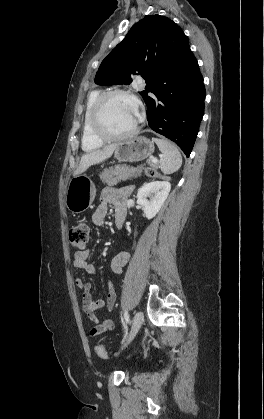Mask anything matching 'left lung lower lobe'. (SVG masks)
Masks as SVG:
<instances>
[{"label":"left lung lower lobe","mask_w":264,"mask_h":419,"mask_svg":"<svg viewBox=\"0 0 264 419\" xmlns=\"http://www.w3.org/2000/svg\"><path fill=\"white\" fill-rule=\"evenodd\" d=\"M170 65L146 97L147 120L189 157L204 114L205 88L198 62L183 33L169 44Z\"/></svg>","instance_id":"left-lung-lower-lobe-1"}]
</instances>
